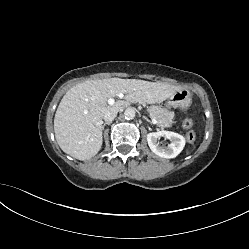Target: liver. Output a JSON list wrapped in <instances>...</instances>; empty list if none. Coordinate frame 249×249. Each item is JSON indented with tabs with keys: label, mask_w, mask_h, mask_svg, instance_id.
<instances>
[{
	"label": "liver",
	"mask_w": 249,
	"mask_h": 249,
	"mask_svg": "<svg viewBox=\"0 0 249 249\" xmlns=\"http://www.w3.org/2000/svg\"><path fill=\"white\" fill-rule=\"evenodd\" d=\"M176 86L139 79L87 80L71 87L61 99L54 117V133L66 154L88 160L102 146L103 115L127 103H160L174 94ZM125 94V101L108 105V98ZM84 111H87L85 114Z\"/></svg>",
	"instance_id": "obj_1"
}]
</instances>
